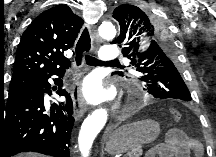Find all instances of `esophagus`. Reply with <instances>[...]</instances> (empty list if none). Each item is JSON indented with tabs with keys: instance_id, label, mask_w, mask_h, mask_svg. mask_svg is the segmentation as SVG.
I'll use <instances>...</instances> for the list:
<instances>
[{
	"instance_id": "esophagus-1",
	"label": "esophagus",
	"mask_w": 216,
	"mask_h": 157,
	"mask_svg": "<svg viewBox=\"0 0 216 157\" xmlns=\"http://www.w3.org/2000/svg\"><path fill=\"white\" fill-rule=\"evenodd\" d=\"M87 29L90 35V44H85V50H81L78 48V42L81 38V35L83 31ZM98 39V34L95 32V30L90 25H85L83 27V30L81 34L79 35V38L77 40L76 46H75V59H74V67L76 69L80 68L83 64V54L89 53L94 49V44ZM72 100H73V107H74V113L76 118H80L87 109V103L84 100V97L81 93V87L79 84H75L72 89Z\"/></svg>"
}]
</instances>
